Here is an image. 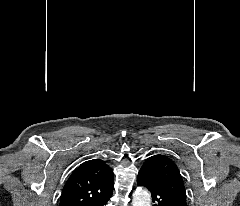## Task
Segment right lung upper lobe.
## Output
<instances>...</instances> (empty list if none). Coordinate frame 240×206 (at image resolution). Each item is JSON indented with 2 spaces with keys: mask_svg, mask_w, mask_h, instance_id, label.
Listing matches in <instances>:
<instances>
[{
  "mask_svg": "<svg viewBox=\"0 0 240 206\" xmlns=\"http://www.w3.org/2000/svg\"><path fill=\"white\" fill-rule=\"evenodd\" d=\"M112 190L111 168L100 159L89 160L75 169L67 180L59 206H90Z\"/></svg>",
  "mask_w": 240,
  "mask_h": 206,
  "instance_id": "obj_1",
  "label": "right lung upper lobe"
}]
</instances>
